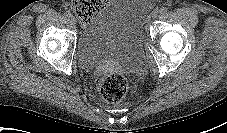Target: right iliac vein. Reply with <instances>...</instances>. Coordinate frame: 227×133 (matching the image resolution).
<instances>
[{
	"label": "right iliac vein",
	"instance_id": "63e3f726",
	"mask_svg": "<svg viewBox=\"0 0 227 133\" xmlns=\"http://www.w3.org/2000/svg\"><path fill=\"white\" fill-rule=\"evenodd\" d=\"M70 20H71L72 23H76V18L73 15L70 16Z\"/></svg>",
	"mask_w": 227,
	"mask_h": 133
}]
</instances>
